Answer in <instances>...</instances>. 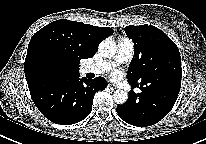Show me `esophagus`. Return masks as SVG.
Segmentation results:
<instances>
[{
	"mask_svg": "<svg viewBox=\"0 0 206 144\" xmlns=\"http://www.w3.org/2000/svg\"><path fill=\"white\" fill-rule=\"evenodd\" d=\"M108 87L111 89V90H114L117 88V86L114 84V83H108Z\"/></svg>",
	"mask_w": 206,
	"mask_h": 144,
	"instance_id": "esophagus-1",
	"label": "esophagus"
}]
</instances>
